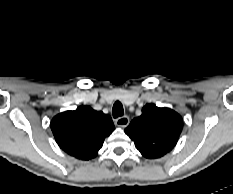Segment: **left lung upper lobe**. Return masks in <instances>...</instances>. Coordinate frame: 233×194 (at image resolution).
Returning a JSON list of instances; mask_svg holds the SVG:
<instances>
[{
    "label": "left lung upper lobe",
    "instance_id": "left-lung-upper-lobe-1",
    "mask_svg": "<svg viewBox=\"0 0 233 194\" xmlns=\"http://www.w3.org/2000/svg\"><path fill=\"white\" fill-rule=\"evenodd\" d=\"M182 124L181 116L175 111L146 104L142 115L131 121L125 133L144 157L154 159L173 149L181 133Z\"/></svg>",
    "mask_w": 233,
    "mask_h": 194
}]
</instances>
